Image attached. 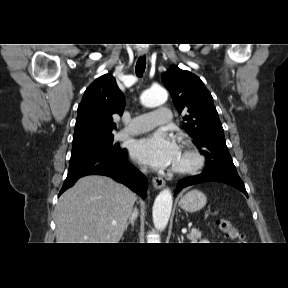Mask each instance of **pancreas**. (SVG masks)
Wrapping results in <instances>:
<instances>
[{
	"label": "pancreas",
	"mask_w": 288,
	"mask_h": 288,
	"mask_svg": "<svg viewBox=\"0 0 288 288\" xmlns=\"http://www.w3.org/2000/svg\"><path fill=\"white\" fill-rule=\"evenodd\" d=\"M187 238L192 243H197V241L201 238V232L198 229H192L189 234H187Z\"/></svg>",
	"instance_id": "obj_1"
}]
</instances>
